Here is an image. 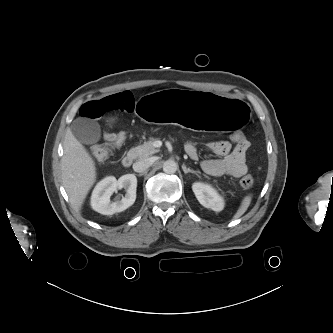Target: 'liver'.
<instances>
[{
	"mask_svg": "<svg viewBox=\"0 0 333 333\" xmlns=\"http://www.w3.org/2000/svg\"><path fill=\"white\" fill-rule=\"evenodd\" d=\"M61 160L62 182L71 204L81 209L84 200L96 181L95 163L85 147L67 130Z\"/></svg>",
	"mask_w": 333,
	"mask_h": 333,
	"instance_id": "6515ba94",
	"label": "liver"
}]
</instances>
